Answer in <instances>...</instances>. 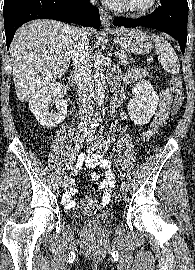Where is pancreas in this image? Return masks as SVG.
<instances>
[{
	"label": "pancreas",
	"instance_id": "pancreas-1",
	"mask_svg": "<svg viewBox=\"0 0 195 270\" xmlns=\"http://www.w3.org/2000/svg\"><path fill=\"white\" fill-rule=\"evenodd\" d=\"M119 63L126 66L128 64V57L126 53H121L119 56Z\"/></svg>",
	"mask_w": 195,
	"mask_h": 270
}]
</instances>
